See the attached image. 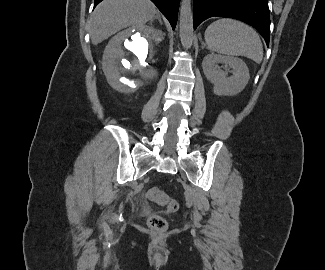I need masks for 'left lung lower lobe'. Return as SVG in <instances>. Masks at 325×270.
Segmentation results:
<instances>
[{"label": "left lung lower lobe", "instance_id": "1", "mask_svg": "<svg viewBox=\"0 0 325 270\" xmlns=\"http://www.w3.org/2000/svg\"><path fill=\"white\" fill-rule=\"evenodd\" d=\"M214 16L238 19L253 26L269 45L268 0H193L194 29Z\"/></svg>", "mask_w": 325, "mask_h": 270}]
</instances>
